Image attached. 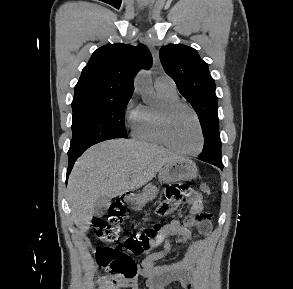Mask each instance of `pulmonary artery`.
I'll return each mask as SVG.
<instances>
[{
    "mask_svg": "<svg viewBox=\"0 0 293 289\" xmlns=\"http://www.w3.org/2000/svg\"><path fill=\"white\" fill-rule=\"evenodd\" d=\"M155 88L156 89H169L175 90L174 81L167 75H162L156 78L155 80Z\"/></svg>",
    "mask_w": 293,
    "mask_h": 289,
    "instance_id": "pulmonary-artery-1",
    "label": "pulmonary artery"
}]
</instances>
